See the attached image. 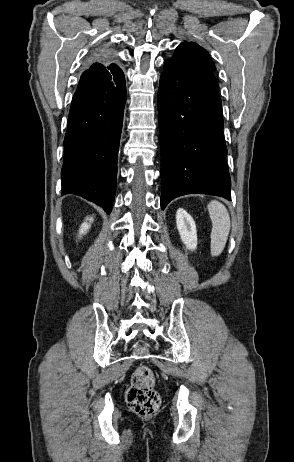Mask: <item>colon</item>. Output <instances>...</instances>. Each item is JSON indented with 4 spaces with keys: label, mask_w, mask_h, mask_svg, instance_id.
<instances>
[{
    "label": "colon",
    "mask_w": 294,
    "mask_h": 462,
    "mask_svg": "<svg viewBox=\"0 0 294 462\" xmlns=\"http://www.w3.org/2000/svg\"><path fill=\"white\" fill-rule=\"evenodd\" d=\"M154 387L153 371L146 365H140L134 371L131 386L126 393L127 405L134 413L148 416L158 410L161 398Z\"/></svg>",
    "instance_id": "5ec220e1"
}]
</instances>
